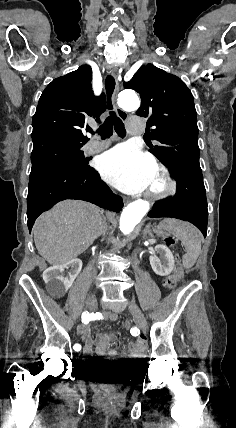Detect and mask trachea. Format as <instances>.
<instances>
[{
	"mask_svg": "<svg viewBox=\"0 0 236 428\" xmlns=\"http://www.w3.org/2000/svg\"><path fill=\"white\" fill-rule=\"evenodd\" d=\"M105 88L107 92L108 109L112 110L111 96L115 88V80L111 75H108L106 77ZM113 125L116 133L120 137L123 138L126 136V130L122 120L119 117H117L115 112L113 111L110 112V115L106 118L103 125H100V127L97 130V133L101 136L102 139L109 138L112 135ZM90 132L94 133L92 130H90Z\"/></svg>",
	"mask_w": 236,
	"mask_h": 428,
	"instance_id": "1",
	"label": "trachea"
}]
</instances>
